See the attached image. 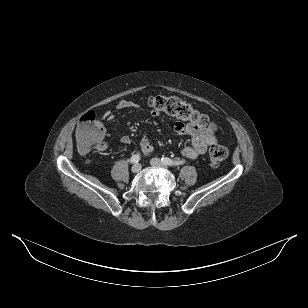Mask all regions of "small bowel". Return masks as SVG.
Masks as SVG:
<instances>
[{
	"mask_svg": "<svg viewBox=\"0 0 308 308\" xmlns=\"http://www.w3.org/2000/svg\"><path fill=\"white\" fill-rule=\"evenodd\" d=\"M116 108L118 110L137 109L138 104L130 100H121L116 105ZM153 115H156V112H153ZM102 117L107 121H111L115 116L112 111L108 110L104 112ZM174 131L178 135H189L191 138V145L182 150V156L186 159H196L200 155H203L207 151L208 147L217 144V138L213 131L194 124L176 122L174 125ZM120 142L127 145L131 142V137L129 135H124L121 137ZM139 145L144 155L148 156L153 152L154 148L145 134L142 135ZM107 147L108 143L103 140L98 150L104 151Z\"/></svg>",
	"mask_w": 308,
	"mask_h": 308,
	"instance_id": "small-bowel-1",
	"label": "small bowel"
}]
</instances>
